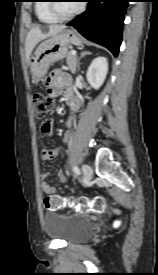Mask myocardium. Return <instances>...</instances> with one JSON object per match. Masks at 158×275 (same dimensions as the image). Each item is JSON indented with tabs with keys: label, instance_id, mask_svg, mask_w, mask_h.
I'll use <instances>...</instances> for the list:
<instances>
[{
	"label": "myocardium",
	"instance_id": "myocardium-1",
	"mask_svg": "<svg viewBox=\"0 0 158 275\" xmlns=\"http://www.w3.org/2000/svg\"><path fill=\"white\" fill-rule=\"evenodd\" d=\"M50 2H56V1H50ZM50 11L52 14L57 17L60 20H68L76 15L80 14L84 10V4H80L75 10L72 12L65 14L61 11L60 6L58 3H50L49 4Z\"/></svg>",
	"mask_w": 158,
	"mask_h": 275
}]
</instances>
